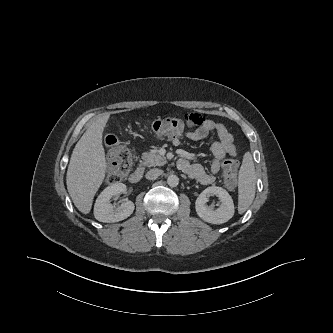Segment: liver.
<instances>
[{"instance_id":"obj_1","label":"liver","mask_w":333,"mask_h":333,"mask_svg":"<svg viewBox=\"0 0 333 333\" xmlns=\"http://www.w3.org/2000/svg\"><path fill=\"white\" fill-rule=\"evenodd\" d=\"M109 117L106 113L88 127L77 142L68 165L67 189L74 205L83 214L90 212L93 198L106 175L102 137Z\"/></svg>"}]
</instances>
